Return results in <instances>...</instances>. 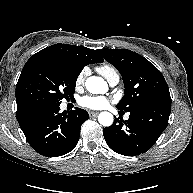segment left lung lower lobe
Here are the masks:
<instances>
[{
	"instance_id": "1",
	"label": "left lung lower lobe",
	"mask_w": 193,
	"mask_h": 193,
	"mask_svg": "<svg viewBox=\"0 0 193 193\" xmlns=\"http://www.w3.org/2000/svg\"><path fill=\"white\" fill-rule=\"evenodd\" d=\"M170 112L171 101H165L130 112L126 121L115 118L110 127L103 129L106 143L121 155L145 153L167 127Z\"/></svg>"
}]
</instances>
